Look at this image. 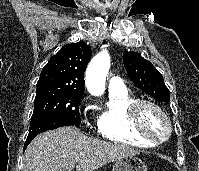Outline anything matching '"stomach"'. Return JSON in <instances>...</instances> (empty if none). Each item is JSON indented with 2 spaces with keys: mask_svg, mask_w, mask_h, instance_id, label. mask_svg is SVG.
Instances as JSON below:
<instances>
[{
  "mask_svg": "<svg viewBox=\"0 0 199 171\" xmlns=\"http://www.w3.org/2000/svg\"><path fill=\"white\" fill-rule=\"evenodd\" d=\"M113 171H147V166L140 158L128 156L118 159L113 166Z\"/></svg>",
  "mask_w": 199,
  "mask_h": 171,
  "instance_id": "obj_1",
  "label": "stomach"
}]
</instances>
